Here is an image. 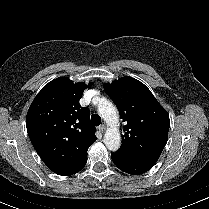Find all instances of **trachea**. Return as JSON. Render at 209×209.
Listing matches in <instances>:
<instances>
[{
	"mask_svg": "<svg viewBox=\"0 0 209 209\" xmlns=\"http://www.w3.org/2000/svg\"><path fill=\"white\" fill-rule=\"evenodd\" d=\"M91 122L94 126H99L101 124V118L97 114L91 116Z\"/></svg>",
	"mask_w": 209,
	"mask_h": 209,
	"instance_id": "obj_1",
	"label": "trachea"
}]
</instances>
